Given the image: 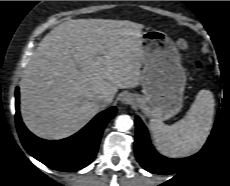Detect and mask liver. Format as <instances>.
<instances>
[{"label":"liver","instance_id":"liver-1","mask_svg":"<svg viewBox=\"0 0 230 186\" xmlns=\"http://www.w3.org/2000/svg\"><path fill=\"white\" fill-rule=\"evenodd\" d=\"M143 25L128 20L71 19L39 43L20 82L27 128L62 139L111 103L118 89L141 82ZM99 96H108L106 105Z\"/></svg>","mask_w":230,"mask_h":186}]
</instances>
